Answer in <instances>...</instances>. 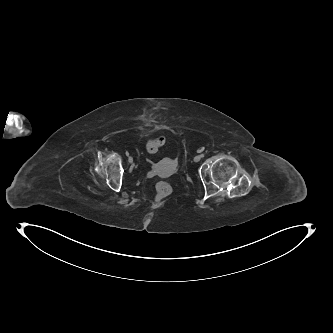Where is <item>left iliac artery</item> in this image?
<instances>
[{"label":"left iliac artery","instance_id":"1","mask_svg":"<svg viewBox=\"0 0 333 333\" xmlns=\"http://www.w3.org/2000/svg\"><path fill=\"white\" fill-rule=\"evenodd\" d=\"M203 150H204V148H202V149L200 150V152H202ZM201 156L204 157V154H201Z\"/></svg>","mask_w":333,"mask_h":333}]
</instances>
